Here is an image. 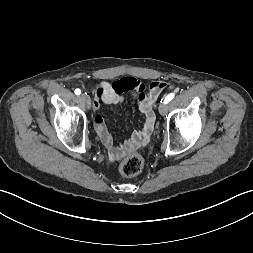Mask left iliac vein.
<instances>
[{
	"mask_svg": "<svg viewBox=\"0 0 253 253\" xmlns=\"http://www.w3.org/2000/svg\"><path fill=\"white\" fill-rule=\"evenodd\" d=\"M158 109L161 115H165L168 111V105L165 103H161Z\"/></svg>",
	"mask_w": 253,
	"mask_h": 253,
	"instance_id": "4c4485c4",
	"label": "left iliac vein"
}]
</instances>
